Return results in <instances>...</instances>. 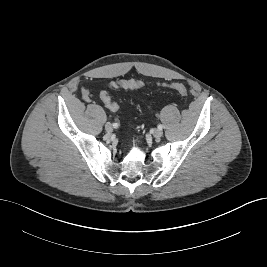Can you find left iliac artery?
<instances>
[{
	"instance_id": "1",
	"label": "left iliac artery",
	"mask_w": 267,
	"mask_h": 267,
	"mask_svg": "<svg viewBox=\"0 0 267 267\" xmlns=\"http://www.w3.org/2000/svg\"><path fill=\"white\" fill-rule=\"evenodd\" d=\"M163 126L161 124L158 125V129L162 130Z\"/></svg>"
}]
</instances>
